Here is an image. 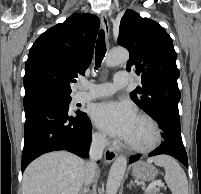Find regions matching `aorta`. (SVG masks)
<instances>
[{"label": "aorta", "mask_w": 201, "mask_h": 194, "mask_svg": "<svg viewBox=\"0 0 201 194\" xmlns=\"http://www.w3.org/2000/svg\"><path fill=\"white\" fill-rule=\"evenodd\" d=\"M128 59L129 53L125 48H114L107 54L105 63L107 67H115L117 65L126 63ZM126 166L127 159L125 156H119L114 161L110 168L107 179L106 194H117L126 170Z\"/></svg>", "instance_id": "aorta-1"}]
</instances>
